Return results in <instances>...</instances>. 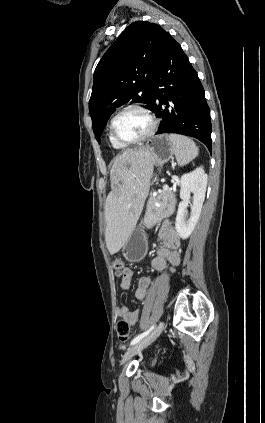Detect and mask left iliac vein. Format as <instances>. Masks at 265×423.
<instances>
[{
	"label": "left iliac vein",
	"mask_w": 265,
	"mask_h": 423,
	"mask_svg": "<svg viewBox=\"0 0 265 423\" xmlns=\"http://www.w3.org/2000/svg\"><path fill=\"white\" fill-rule=\"evenodd\" d=\"M164 330V323L161 322L148 336H146L141 341L134 344L131 348H129L122 360V363H125L129 359H131L136 354L140 353L143 349L149 346L152 342L156 340V338L162 333Z\"/></svg>",
	"instance_id": "left-iliac-vein-1"
}]
</instances>
